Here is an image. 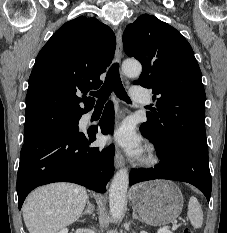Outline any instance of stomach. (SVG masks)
I'll use <instances>...</instances> for the list:
<instances>
[{"mask_svg": "<svg viewBox=\"0 0 227 233\" xmlns=\"http://www.w3.org/2000/svg\"><path fill=\"white\" fill-rule=\"evenodd\" d=\"M131 199L140 219L153 226L173 222L183 208L181 191L170 181L141 183L133 188Z\"/></svg>", "mask_w": 227, "mask_h": 233, "instance_id": "obj_1", "label": "stomach"}]
</instances>
